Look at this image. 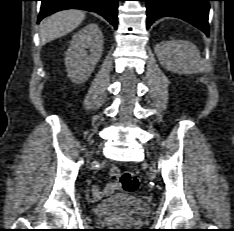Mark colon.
Wrapping results in <instances>:
<instances>
[{
  "label": "colon",
  "mask_w": 234,
  "mask_h": 231,
  "mask_svg": "<svg viewBox=\"0 0 234 231\" xmlns=\"http://www.w3.org/2000/svg\"><path fill=\"white\" fill-rule=\"evenodd\" d=\"M111 177L114 179H119L122 190L125 193H134L139 188V179L132 171L120 172L117 169H113L111 172Z\"/></svg>",
  "instance_id": "5ec220e1"
}]
</instances>
